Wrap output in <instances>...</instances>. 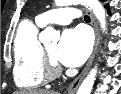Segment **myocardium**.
<instances>
[{
  "label": "myocardium",
  "instance_id": "myocardium-1",
  "mask_svg": "<svg viewBox=\"0 0 121 94\" xmlns=\"http://www.w3.org/2000/svg\"><path fill=\"white\" fill-rule=\"evenodd\" d=\"M42 70L46 79L52 80L62 73V68L59 66L55 58L42 46Z\"/></svg>",
  "mask_w": 121,
  "mask_h": 94
}]
</instances>
